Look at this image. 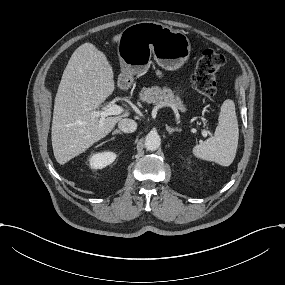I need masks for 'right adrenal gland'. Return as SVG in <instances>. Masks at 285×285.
<instances>
[{
    "label": "right adrenal gland",
    "mask_w": 285,
    "mask_h": 285,
    "mask_svg": "<svg viewBox=\"0 0 285 285\" xmlns=\"http://www.w3.org/2000/svg\"><path fill=\"white\" fill-rule=\"evenodd\" d=\"M112 135H123V133L120 130H115L112 132Z\"/></svg>",
    "instance_id": "2a0ac1e0"
}]
</instances>
